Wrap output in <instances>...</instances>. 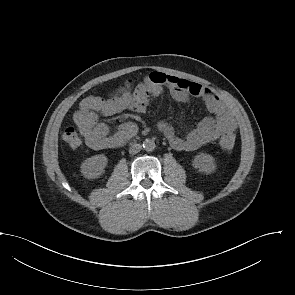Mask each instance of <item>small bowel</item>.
<instances>
[{
    "mask_svg": "<svg viewBox=\"0 0 295 295\" xmlns=\"http://www.w3.org/2000/svg\"><path fill=\"white\" fill-rule=\"evenodd\" d=\"M164 87L169 88L172 98L178 102H186L190 96L201 98L211 113L184 136L178 135L168 123L161 122L159 129L173 149L194 151L226 131H235L234 117L212 90L183 78L152 72L136 85L125 83L107 98L88 96L80 102L73 119L85 144L93 150H103L118 147L132 138L137 132L133 122L121 124L110 134L107 125L98 121V114L112 116L125 110L144 113L149 99L159 97Z\"/></svg>",
    "mask_w": 295,
    "mask_h": 295,
    "instance_id": "obj_1",
    "label": "small bowel"
}]
</instances>
